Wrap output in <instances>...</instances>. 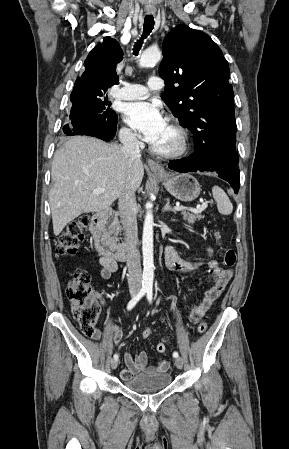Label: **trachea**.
Instances as JSON below:
<instances>
[{"mask_svg": "<svg viewBox=\"0 0 289 449\" xmlns=\"http://www.w3.org/2000/svg\"><path fill=\"white\" fill-rule=\"evenodd\" d=\"M153 28H154V17L152 15H146L143 25V35L140 38V40H138L134 45L133 54L135 56L138 55L139 50L143 44V40L152 32Z\"/></svg>", "mask_w": 289, "mask_h": 449, "instance_id": "1", "label": "trachea"}]
</instances>
